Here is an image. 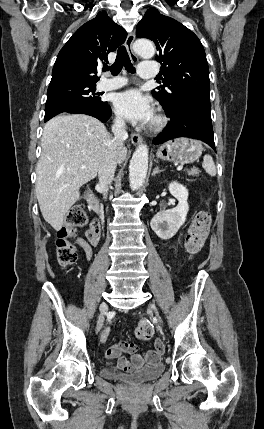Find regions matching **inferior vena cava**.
<instances>
[{
	"mask_svg": "<svg viewBox=\"0 0 264 429\" xmlns=\"http://www.w3.org/2000/svg\"><path fill=\"white\" fill-rule=\"evenodd\" d=\"M112 132L114 138L109 142L108 148L101 158L98 168L99 186L102 190L104 199L107 198L109 185L114 179L117 167V153L123 147L124 141L128 138L125 121L121 118H116L112 126Z\"/></svg>",
	"mask_w": 264,
	"mask_h": 429,
	"instance_id": "inferior-vena-cava-1",
	"label": "inferior vena cava"
}]
</instances>
